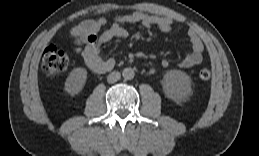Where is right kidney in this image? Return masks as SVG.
I'll return each mask as SVG.
<instances>
[{
	"label": "right kidney",
	"instance_id": "ca27d5eb",
	"mask_svg": "<svg viewBox=\"0 0 259 156\" xmlns=\"http://www.w3.org/2000/svg\"><path fill=\"white\" fill-rule=\"evenodd\" d=\"M87 71L85 68L73 69L65 81V91L71 95L80 93L86 83Z\"/></svg>",
	"mask_w": 259,
	"mask_h": 156
}]
</instances>
